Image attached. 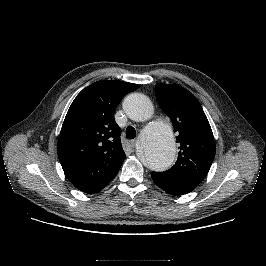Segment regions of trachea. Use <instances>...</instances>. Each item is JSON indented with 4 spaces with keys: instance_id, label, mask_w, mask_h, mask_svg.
I'll return each instance as SVG.
<instances>
[{
    "instance_id": "1",
    "label": "trachea",
    "mask_w": 266,
    "mask_h": 266,
    "mask_svg": "<svg viewBox=\"0 0 266 266\" xmlns=\"http://www.w3.org/2000/svg\"><path fill=\"white\" fill-rule=\"evenodd\" d=\"M126 136H127V138H129V139H134L135 137H136V130H135V128H133V127H128L127 129H126Z\"/></svg>"
}]
</instances>
